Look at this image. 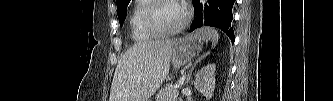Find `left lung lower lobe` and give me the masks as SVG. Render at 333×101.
Returning <instances> with one entry per match:
<instances>
[{"label": "left lung lower lobe", "mask_w": 333, "mask_h": 101, "mask_svg": "<svg viewBox=\"0 0 333 101\" xmlns=\"http://www.w3.org/2000/svg\"><path fill=\"white\" fill-rule=\"evenodd\" d=\"M194 2V15L195 19L190 27V32L202 25L214 26L223 30L234 43V31L231 27L233 19L232 6L235 0H209V7L205 4L204 21L202 12V5L199 0Z\"/></svg>", "instance_id": "obj_1"}]
</instances>
